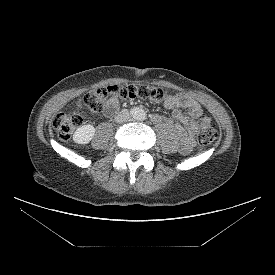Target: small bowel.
<instances>
[{
    "label": "small bowel",
    "instance_id": "c3829d8e",
    "mask_svg": "<svg viewBox=\"0 0 275 275\" xmlns=\"http://www.w3.org/2000/svg\"><path fill=\"white\" fill-rule=\"evenodd\" d=\"M164 106L171 111L172 118L168 120L179 135V149L182 153L191 151L194 144V135L198 129V118L203 115L202 106L193 98L175 94L169 95ZM120 104L116 98L109 99L103 107V114L111 117L117 113ZM209 120V118H206Z\"/></svg>",
    "mask_w": 275,
    "mask_h": 275
}]
</instances>
